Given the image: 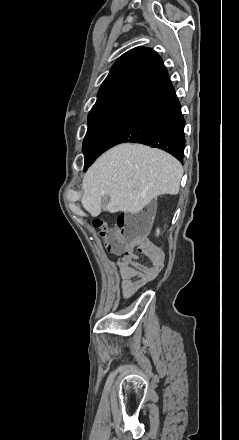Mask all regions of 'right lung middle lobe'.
I'll list each match as a JSON object with an SVG mask.
<instances>
[{
	"label": "right lung middle lobe",
	"instance_id": "right-lung-middle-lobe-1",
	"mask_svg": "<svg viewBox=\"0 0 239 440\" xmlns=\"http://www.w3.org/2000/svg\"><path fill=\"white\" fill-rule=\"evenodd\" d=\"M130 98H116L93 106L88 115V130L83 142L84 155H90L100 138L114 124Z\"/></svg>",
	"mask_w": 239,
	"mask_h": 440
}]
</instances>
